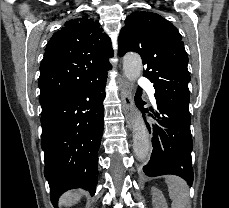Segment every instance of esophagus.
Returning a JSON list of instances; mask_svg holds the SVG:
<instances>
[{
    "label": "esophagus",
    "mask_w": 229,
    "mask_h": 208,
    "mask_svg": "<svg viewBox=\"0 0 229 208\" xmlns=\"http://www.w3.org/2000/svg\"><path fill=\"white\" fill-rule=\"evenodd\" d=\"M131 84L124 79L123 89L121 92V100L123 105V112L126 120L127 127L132 130L134 127V110H133V99L131 93Z\"/></svg>",
    "instance_id": "34e87169"
}]
</instances>
